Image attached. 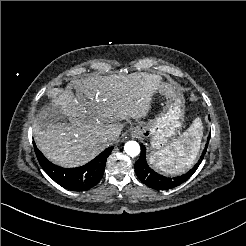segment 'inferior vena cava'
<instances>
[{
    "mask_svg": "<svg viewBox=\"0 0 246 246\" xmlns=\"http://www.w3.org/2000/svg\"><path fill=\"white\" fill-rule=\"evenodd\" d=\"M116 137V134H110L108 135V138H115Z\"/></svg>",
    "mask_w": 246,
    "mask_h": 246,
    "instance_id": "inferior-vena-cava-1",
    "label": "inferior vena cava"
}]
</instances>
